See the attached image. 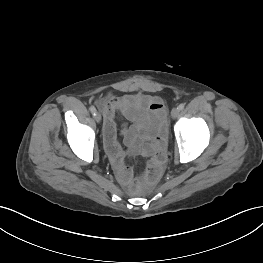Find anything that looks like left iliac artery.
Instances as JSON below:
<instances>
[{
    "label": "left iliac artery",
    "mask_w": 263,
    "mask_h": 263,
    "mask_svg": "<svg viewBox=\"0 0 263 263\" xmlns=\"http://www.w3.org/2000/svg\"><path fill=\"white\" fill-rule=\"evenodd\" d=\"M184 107H185V104H183V103L178 106L179 110H183Z\"/></svg>",
    "instance_id": "1"
}]
</instances>
